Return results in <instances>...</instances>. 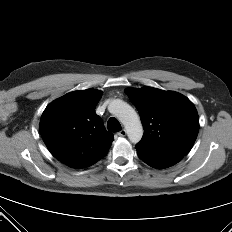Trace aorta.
I'll return each instance as SVG.
<instances>
[{
	"mask_svg": "<svg viewBox=\"0 0 232 232\" xmlns=\"http://www.w3.org/2000/svg\"><path fill=\"white\" fill-rule=\"evenodd\" d=\"M108 108L110 113L124 125L129 140L138 143L143 136V127L136 111L120 99L113 100Z\"/></svg>",
	"mask_w": 232,
	"mask_h": 232,
	"instance_id": "obj_1",
	"label": "aorta"
}]
</instances>
